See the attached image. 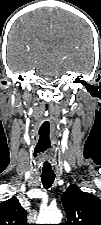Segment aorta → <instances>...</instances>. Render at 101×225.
<instances>
[{"label": "aorta", "mask_w": 101, "mask_h": 225, "mask_svg": "<svg viewBox=\"0 0 101 225\" xmlns=\"http://www.w3.org/2000/svg\"><path fill=\"white\" fill-rule=\"evenodd\" d=\"M62 214L57 208H47L40 212L37 224H59Z\"/></svg>", "instance_id": "obj_1"}]
</instances>
